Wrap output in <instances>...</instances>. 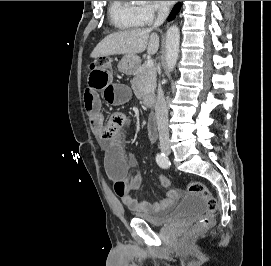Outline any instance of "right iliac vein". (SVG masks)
<instances>
[{
  "instance_id": "obj_1",
  "label": "right iliac vein",
  "mask_w": 271,
  "mask_h": 266,
  "mask_svg": "<svg viewBox=\"0 0 271 266\" xmlns=\"http://www.w3.org/2000/svg\"><path fill=\"white\" fill-rule=\"evenodd\" d=\"M160 149L162 152H164L165 154L169 155L170 154V143L169 142H162L160 144Z\"/></svg>"
}]
</instances>
